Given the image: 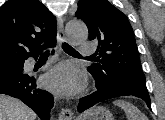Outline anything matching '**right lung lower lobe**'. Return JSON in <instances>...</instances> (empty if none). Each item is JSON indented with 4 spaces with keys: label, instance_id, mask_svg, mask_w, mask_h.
<instances>
[{
    "label": "right lung lower lobe",
    "instance_id": "98d812e1",
    "mask_svg": "<svg viewBox=\"0 0 165 120\" xmlns=\"http://www.w3.org/2000/svg\"><path fill=\"white\" fill-rule=\"evenodd\" d=\"M56 45L53 43L52 47ZM53 53V52H52ZM35 59L38 56H33ZM11 70H0V94H7L20 99L28 105L41 120H50L53 107V96L36 87V80L23 72V64Z\"/></svg>",
    "mask_w": 165,
    "mask_h": 120
}]
</instances>
